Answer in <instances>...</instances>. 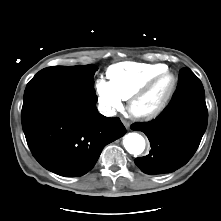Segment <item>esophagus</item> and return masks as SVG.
<instances>
[{"label":"esophagus","mask_w":221,"mask_h":221,"mask_svg":"<svg viewBox=\"0 0 221 221\" xmlns=\"http://www.w3.org/2000/svg\"><path fill=\"white\" fill-rule=\"evenodd\" d=\"M122 123L124 124V126L126 127V129H129L130 127V123L127 120H122Z\"/></svg>","instance_id":"34e87169"}]
</instances>
